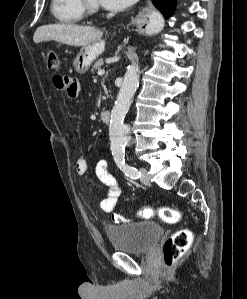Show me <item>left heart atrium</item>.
Listing matches in <instances>:
<instances>
[{"mask_svg":"<svg viewBox=\"0 0 247 299\" xmlns=\"http://www.w3.org/2000/svg\"><path fill=\"white\" fill-rule=\"evenodd\" d=\"M103 6L109 9H122L135 0H98Z\"/></svg>","mask_w":247,"mask_h":299,"instance_id":"left-heart-atrium-1","label":"left heart atrium"}]
</instances>
